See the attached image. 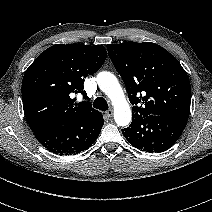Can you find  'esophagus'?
Here are the masks:
<instances>
[{
  "label": "esophagus",
  "mask_w": 212,
  "mask_h": 212,
  "mask_svg": "<svg viewBox=\"0 0 212 212\" xmlns=\"http://www.w3.org/2000/svg\"><path fill=\"white\" fill-rule=\"evenodd\" d=\"M106 115L108 117H112L113 116V110L109 109L108 111H106Z\"/></svg>",
  "instance_id": "1"
}]
</instances>
